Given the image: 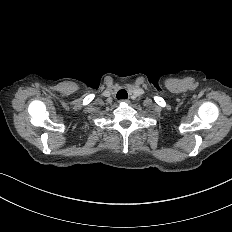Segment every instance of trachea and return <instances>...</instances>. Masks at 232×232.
I'll list each match as a JSON object with an SVG mask.
<instances>
[{"mask_svg": "<svg viewBox=\"0 0 232 232\" xmlns=\"http://www.w3.org/2000/svg\"><path fill=\"white\" fill-rule=\"evenodd\" d=\"M128 98V94L126 90H119L117 93V99L121 100V99H127Z\"/></svg>", "mask_w": 232, "mask_h": 232, "instance_id": "1", "label": "trachea"}]
</instances>
